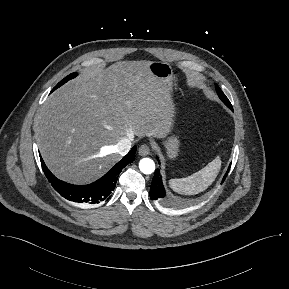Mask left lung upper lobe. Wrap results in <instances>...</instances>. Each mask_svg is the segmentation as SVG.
I'll list each match as a JSON object with an SVG mask.
<instances>
[{
  "label": "left lung upper lobe",
  "mask_w": 289,
  "mask_h": 289,
  "mask_svg": "<svg viewBox=\"0 0 289 289\" xmlns=\"http://www.w3.org/2000/svg\"><path fill=\"white\" fill-rule=\"evenodd\" d=\"M216 91L218 93V96L220 97V99L224 102L229 101L228 98L225 96V94L222 92V90L220 89V87L218 85H216Z\"/></svg>",
  "instance_id": "left-lung-upper-lobe-1"
}]
</instances>
